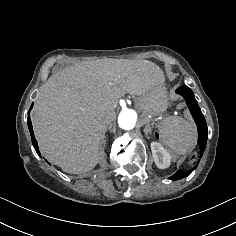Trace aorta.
Instances as JSON below:
<instances>
[{"label":"aorta","mask_w":236,"mask_h":236,"mask_svg":"<svg viewBox=\"0 0 236 236\" xmlns=\"http://www.w3.org/2000/svg\"><path fill=\"white\" fill-rule=\"evenodd\" d=\"M137 121V113L132 109H124L118 117V124L124 130H131L135 127Z\"/></svg>","instance_id":"1"}]
</instances>
